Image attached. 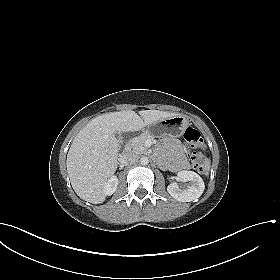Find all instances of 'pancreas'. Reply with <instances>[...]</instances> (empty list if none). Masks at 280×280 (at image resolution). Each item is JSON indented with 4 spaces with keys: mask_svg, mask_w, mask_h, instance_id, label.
I'll list each match as a JSON object with an SVG mask.
<instances>
[{
    "mask_svg": "<svg viewBox=\"0 0 280 280\" xmlns=\"http://www.w3.org/2000/svg\"><path fill=\"white\" fill-rule=\"evenodd\" d=\"M152 138L153 137L149 133L144 132L130 141L129 148L136 154H145L147 152L145 141Z\"/></svg>",
    "mask_w": 280,
    "mask_h": 280,
    "instance_id": "cf45deb5",
    "label": "pancreas"
}]
</instances>
